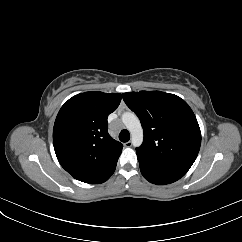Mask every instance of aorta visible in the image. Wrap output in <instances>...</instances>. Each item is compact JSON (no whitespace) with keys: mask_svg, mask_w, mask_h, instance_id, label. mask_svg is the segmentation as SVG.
I'll return each instance as SVG.
<instances>
[{"mask_svg":"<svg viewBox=\"0 0 242 242\" xmlns=\"http://www.w3.org/2000/svg\"><path fill=\"white\" fill-rule=\"evenodd\" d=\"M122 122L131 134L133 146L139 147L143 143V128L138 117L133 112H126L122 115Z\"/></svg>","mask_w":242,"mask_h":242,"instance_id":"aorta-1","label":"aorta"}]
</instances>
